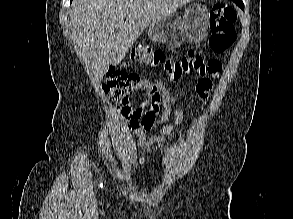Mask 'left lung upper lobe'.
Instances as JSON below:
<instances>
[{
    "label": "left lung upper lobe",
    "instance_id": "5c2ea615",
    "mask_svg": "<svg viewBox=\"0 0 293 219\" xmlns=\"http://www.w3.org/2000/svg\"><path fill=\"white\" fill-rule=\"evenodd\" d=\"M233 2H235V3H240V2H242V0H232Z\"/></svg>",
    "mask_w": 293,
    "mask_h": 219
}]
</instances>
